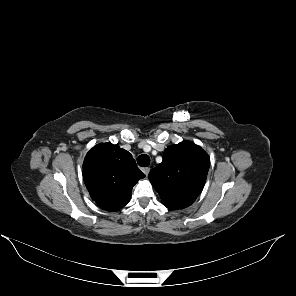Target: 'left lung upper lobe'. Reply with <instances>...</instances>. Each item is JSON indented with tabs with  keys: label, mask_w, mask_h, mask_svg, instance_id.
Segmentation results:
<instances>
[{
	"label": "left lung upper lobe",
	"mask_w": 296,
	"mask_h": 296,
	"mask_svg": "<svg viewBox=\"0 0 296 296\" xmlns=\"http://www.w3.org/2000/svg\"><path fill=\"white\" fill-rule=\"evenodd\" d=\"M210 166L204 150L190 141L167 147L163 161L148 177L169 209H183L191 205L201 193Z\"/></svg>",
	"instance_id": "obj_1"
}]
</instances>
